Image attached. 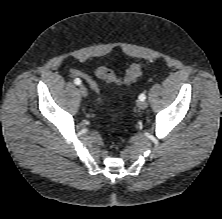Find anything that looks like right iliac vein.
<instances>
[{
	"label": "right iliac vein",
	"mask_w": 222,
	"mask_h": 219,
	"mask_svg": "<svg viewBox=\"0 0 222 219\" xmlns=\"http://www.w3.org/2000/svg\"><path fill=\"white\" fill-rule=\"evenodd\" d=\"M79 92L83 97H86L88 94L87 88L84 85L79 86Z\"/></svg>",
	"instance_id": "1"
}]
</instances>
